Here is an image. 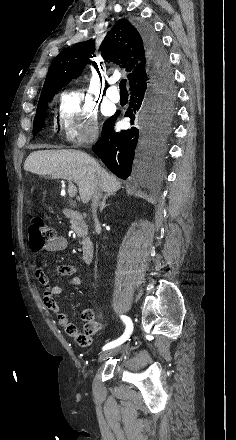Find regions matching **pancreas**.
Returning <instances> with one entry per match:
<instances>
[{"mask_svg": "<svg viewBox=\"0 0 236 440\" xmlns=\"http://www.w3.org/2000/svg\"><path fill=\"white\" fill-rule=\"evenodd\" d=\"M73 230H74L76 233H79V231H80L78 226H74V227H73Z\"/></svg>", "mask_w": 236, "mask_h": 440, "instance_id": "1", "label": "pancreas"}]
</instances>
